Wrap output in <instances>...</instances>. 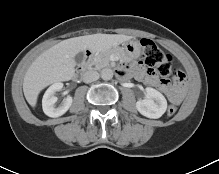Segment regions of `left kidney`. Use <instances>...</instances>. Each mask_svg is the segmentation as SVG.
<instances>
[{"label":"left kidney","instance_id":"1","mask_svg":"<svg viewBox=\"0 0 219 174\" xmlns=\"http://www.w3.org/2000/svg\"><path fill=\"white\" fill-rule=\"evenodd\" d=\"M136 108L143 116L158 119L166 112L167 101L159 91L147 87L146 98L137 101Z\"/></svg>","mask_w":219,"mask_h":174}]
</instances>
